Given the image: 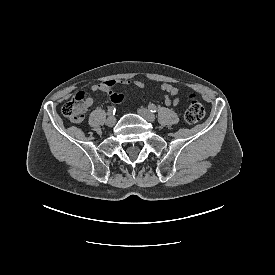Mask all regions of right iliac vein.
I'll return each mask as SVG.
<instances>
[{
	"label": "right iliac vein",
	"mask_w": 275,
	"mask_h": 275,
	"mask_svg": "<svg viewBox=\"0 0 275 275\" xmlns=\"http://www.w3.org/2000/svg\"><path fill=\"white\" fill-rule=\"evenodd\" d=\"M116 123V118L114 116H109L108 119L106 120V124L109 127L114 126Z\"/></svg>",
	"instance_id": "obj_1"
}]
</instances>
